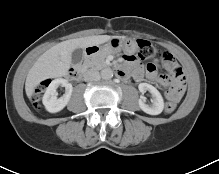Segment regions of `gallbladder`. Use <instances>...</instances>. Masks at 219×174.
Returning <instances> with one entry per match:
<instances>
[{
  "mask_svg": "<svg viewBox=\"0 0 219 174\" xmlns=\"http://www.w3.org/2000/svg\"><path fill=\"white\" fill-rule=\"evenodd\" d=\"M83 50L78 48V49H75L73 52H72V64H78L82 61L83 59Z\"/></svg>",
  "mask_w": 219,
  "mask_h": 174,
  "instance_id": "bac80fb5",
  "label": "gallbladder"
}]
</instances>
